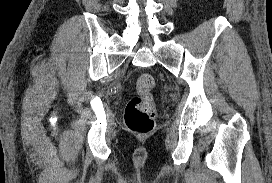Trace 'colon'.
Returning <instances> with one entry per match:
<instances>
[{
	"label": "colon",
	"instance_id": "colon-1",
	"mask_svg": "<svg viewBox=\"0 0 272 183\" xmlns=\"http://www.w3.org/2000/svg\"><path fill=\"white\" fill-rule=\"evenodd\" d=\"M155 86L153 77L141 74L136 81L138 95L132 97L125 110V124L133 132L146 134L154 127L155 105L151 90Z\"/></svg>",
	"mask_w": 272,
	"mask_h": 183
}]
</instances>
